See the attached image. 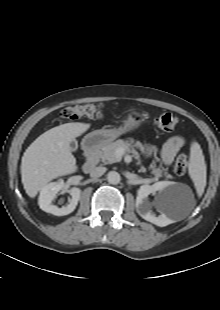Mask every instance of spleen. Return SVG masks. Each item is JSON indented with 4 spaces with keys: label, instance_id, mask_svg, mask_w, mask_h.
I'll return each instance as SVG.
<instances>
[{
    "label": "spleen",
    "instance_id": "obj_1",
    "mask_svg": "<svg viewBox=\"0 0 220 310\" xmlns=\"http://www.w3.org/2000/svg\"><path fill=\"white\" fill-rule=\"evenodd\" d=\"M189 175L198 195H202L206 186V164L202 149L197 142H193L190 148Z\"/></svg>",
    "mask_w": 220,
    "mask_h": 310
}]
</instances>
